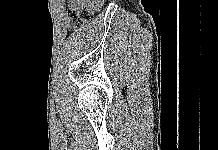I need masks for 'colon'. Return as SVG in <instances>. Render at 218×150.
<instances>
[{
  "label": "colon",
  "mask_w": 218,
  "mask_h": 150,
  "mask_svg": "<svg viewBox=\"0 0 218 150\" xmlns=\"http://www.w3.org/2000/svg\"><path fill=\"white\" fill-rule=\"evenodd\" d=\"M99 7H79L68 11V27L79 28L84 24L90 22Z\"/></svg>",
  "instance_id": "1"
}]
</instances>
